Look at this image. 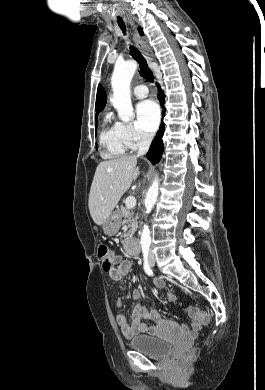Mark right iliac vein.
<instances>
[{"label": "right iliac vein", "instance_id": "right-iliac-vein-1", "mask_svg": "<svg viewBox=\"0 0 265 390\" xmlns=\"http://www.w3.org/2000/svg\"><path fill=\"white\" fill-rule=\"evenodd\" d=\"M150 263L153 264L154 263V259L153 258H150Z\"/></svg>", "mask_w": 265, "mask_h": 390}]
</instances>
